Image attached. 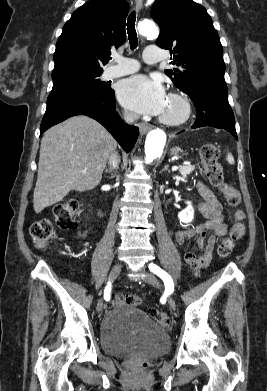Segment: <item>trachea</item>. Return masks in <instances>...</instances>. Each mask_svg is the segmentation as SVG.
<instances>
[{"label": "trachea", "instance_id": "1", "mask_svg": "<svg viewBox=\"0 0 267 391\" xmlns=\"http://www.w3.org/2000/svg\"><path fill=\"white\" fill-rule=\"evenodd\" d=\"M136 14L133 11L127 19V34L131 50L138 46L137 33L135 29Z\"/></svg>", "mask_w": 267, "mask_h": 391}]
</instances>
